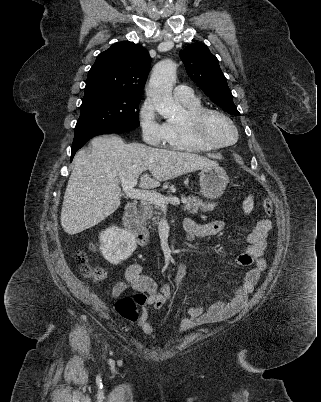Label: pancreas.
<instances>
[{
	"label": "pancreas",
	"mask_w": 321,
	"mask_h": 402,
	"mask_svg": "<svg viewBox=\"0 0 321 402\" xmlns=\"http://www.w3.org/2000/svg\"><path fill=\"white\" fill-rule=\"evenodd\" d=\"M217 206L215 202H203L197 197H188L185 199L183 210L190 214H196L198 210L201 212L213 211ZM160 206L148 200H142L140 205L139 216L143 223L151 226L159 224L160 221Z\"/></svg>",
	"instance_id": "cf45deb5"
}]
</instances>
